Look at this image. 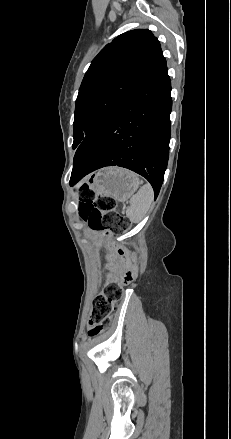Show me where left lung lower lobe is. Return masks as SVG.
<instances>
[{"mask_svg":"<svg viewBox=\"0 0 231 439\" xmlns=\"http://www.w3.org/2000/svg\"><path fill=\"white\" fill-rule=\"evenodd\" d=\"M172 108L166 61L137 83L78 146L72 184L105 166L128 168L152 185L155 198L169 157Z\"/></svg>","mask_w":231,"mask_h":439,"instance_id":"left-lung-lower-lobe-1","label":"left lung lower lobe"}]
</instances>
